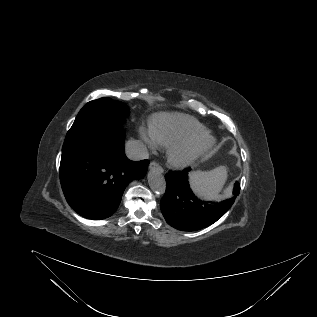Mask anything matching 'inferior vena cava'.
<instances>
[{
  "mask_svg": "<svg viewBox=\"0 0 317 317\" xmlns=\"http://www.w3.org/2000/svg\"><path fill=\"white\" fill-rule=\"evenodd\" d=\"M125 153L131 160H143L149 157L147 147L139 140H129L125 146Z\"/></svg>",
  "mask_w": 317,
  "mask_h": 317,
  "instance_id": "602c4592",
  "label": "inferior vena cava"
}]
</instances>
